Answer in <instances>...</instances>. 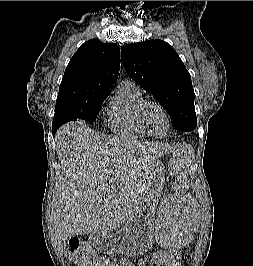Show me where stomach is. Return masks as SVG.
Returning a JSON list of instances; mask_svg holds the SVG:
<instances>
[{
    "label": "stomach",
    "mask_w": 253,
    "mask_h": 266,
    "mask_svg": "<svg viewBox=\"0 0 253 266\" xmlns=\"http://www.w3.org/2000/svg\"><path fill=\"white\" fill-rule=\"evenodd\" d=\"M161 166L157 162L146 184L145 199L133 219L126 223L116 234L104 233L94 242L95 247L105 253L118 252L127 257L145 254L154 242V203L153 196L159 184ZM161 176V175H160Z\"/></svg>",
    "instance_id": "stomach-1"
}]
</instances>
